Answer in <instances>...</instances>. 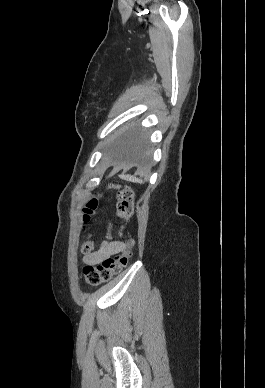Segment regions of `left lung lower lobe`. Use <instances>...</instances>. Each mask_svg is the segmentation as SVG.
<instances>
[{
	"instance_id": "1",
	"label": "left lung lower lobe",
	"mask_w": 265,
	"mask_h": 388,
	"mask_svg": "<svg viewBox=\"0 0 265 388\" xmlns=\"http://www.w3.org/2000/svg\"><path fill=\"white\" fill-rule=\"evenodd\" d=\"M115 152L118 158L136 163L146 162L145 141L137 131H129L117 141Z\"/></svg>"
}]
</instances>
